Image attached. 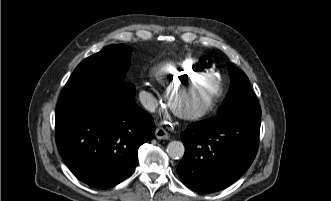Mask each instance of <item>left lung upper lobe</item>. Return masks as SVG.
<instances>
[{"label":"left lung upper lobe","instance_id":"obj_1","mask_svg":"<svg viewBox=\"0 0 331 201\" xmlns=\"http://www.w3.org/2000/svg\"><path fill=\"white\" fill-rule=\"evenodd\" d=\"M227 66L231 78V86L224 102L218 110L219 113L235 108L258 105L246 74L231 63H228Z\"/></svg>","mask_w":331,"mask_h":201}]
</instances>
